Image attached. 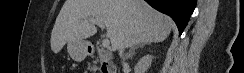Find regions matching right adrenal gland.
Segmentation results:
<instances>
[{"label":"right adrenal gland","instance_id":"1","mask_svg":"<svg viewBox=\"0 0 244 73\" xmlns=\"http://www.w3.org/2000/svg\"><path fill=\"white\" fill-rule=\"evenodd\" d=\"M146 44H148V43H142V44H139V45H137V46H134V47H132L131 49H130V51H129V55L128 56H130L131 54H133L134 53V51L137 49V48H139V47H144Z\"/></svg>","mask_w":244,"mask_h":73}]
</instances>
